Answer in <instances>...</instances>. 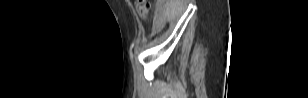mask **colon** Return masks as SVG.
I'll list each match as a JSON object with an SVG mask.
<instances>
[{
	"mask_svg": "<svg viewBox=\"0 0 308 98\" xmlns=\"http://www.w3.org/2000/svg\"><path fill=\"white\" fill-rule=\"evenodd\" d=\"M135 7H136V11L138 13V15L143 18L146 19L149 16V5L145 0H137L135 2Z\"/></svg>",
	"mask_w": 308,
	"mask_h": 98,
	"instance_id": "colon-1",
	"label": "colon"
}]
</instances>
